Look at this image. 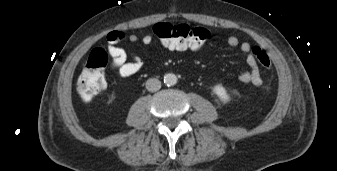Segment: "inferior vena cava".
Segmentation results:
<instances>
[{
  "mask_svg": "<svg viewBox=\"0 0 337 171\" xmlns=\"http://www.w3.org/2000/svg\"><path fill=\"white\" fill-rule=\"evenodd\" d=\"M161 88V82L156 78H150L146 81V89L150 92L158 91Z\"/></svg>",
  "mask_w": 337,
  "mask_h": 171,
  "instance_id": "1",
  "label": "inferior vena cava"
}]
</instances>
